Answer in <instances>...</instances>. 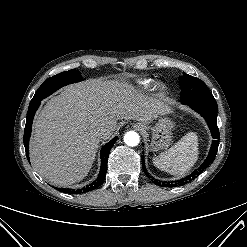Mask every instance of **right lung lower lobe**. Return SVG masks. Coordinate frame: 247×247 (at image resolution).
<instances>
[{
    "label": "right lung lower lobe",
    "instance_id": "right-lung-lower-lobe-1",
    "mask_svg": "<svg viewBox=\"0 0 247 247\" xmlns=\"http://www.w3.org/2000/svg\"><path fill=\"white\" fill-rule=\"evenodd\" d=\"M39 105H40V102L30 103L28 113H27V118H26V125H25V130H24V146H25V151H26V156L28 158V161H29V138L31 135L32 122H33L35 112L38 109ZM116 140H117V137L113 138L111 141H109L106 145L102 147L100 151L101 169H100V173L97 179L94 182H92L90 185L82 189H79V190H72V189H62V190L66 193L80 194V193L89 192V191H92L98 188L104 182L105 175L107 172L108 156Z\"/></svg>",
    "mask_w": 247,
    "mask_h": 247
}]
</instances>
